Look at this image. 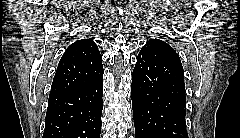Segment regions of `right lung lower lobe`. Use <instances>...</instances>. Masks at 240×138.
<instances>
[{
  "mask_svg": "<svg viewBox=\"0 0 240 138\" xmlns=\"http://www.w3.org/2000/svg\"><path fill=\"white\" fill-rule=\"evenodd\" d=\"M103 74L94 82L49 96L43 138H100Z\"/></svg>",
  "mask_w": 240,
  "mask_h": 138,
  "instance_id": "1",
  "label": "right lung lower lobe"
}]
</instances>
